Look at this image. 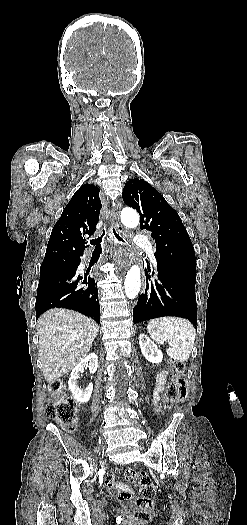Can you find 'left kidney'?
Listing matches in <instances>:
<instances>
[{
    "label": "left kidney",
    "mask_w": 247,
    "mask_h": 525,
    "mask_svg": "<svg viewBox=\"0 0 247 525\" xmlns=\"http://www.w3.org/2000/svg\"><path fill=\"white\" fill-rule=\"evenodd\" d=\"M139 345L141 353L149 363H162L163 355L162 351L158 349L157 345L147 337V335H139Z\"/></svg>",
    "instance_id": "5707ae66"
}]
</instances>
